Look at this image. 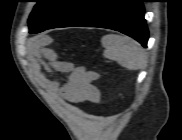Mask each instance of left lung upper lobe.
Returning <instances> with one entry per match:
<instances>
[{
  "label": "left lung upper lobe",
  "mask_w": 182,
  "mask_h": 140,
  "mask_svg": "<svg viewBox=\"0 0 182 140\" xmlns=\"http://www.w3.org/2000/svg\"><path fill=\"white\" fill-rule=\"evenodd\" d=\"M104 0H37L28 20L30 33L68 27L100 5Z\"/></svg>",
  "instance_id": "1"
}]
</instances>
